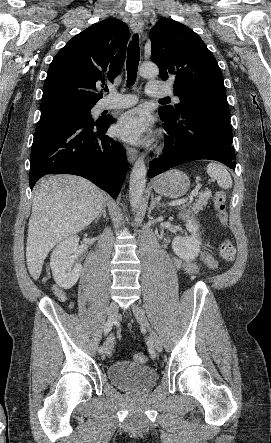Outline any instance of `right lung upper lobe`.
Instances as JSON below:
<instances>
[{
  "instance_id": "1",
  "label": "right lung upper lobe",
  "mask_w": 271,
  "mask_h": 443,
  "mask_svg": "<svg viewBox=\"0 0 271 443\" xmlns=\"http://www.w3.org/2000/svg\"><path fill=\"white\" fill-rule=\"evenodd\" d=\"M129 29L109 18L74 36L53 58L44 82L41 103L71 99L96 103L97 89L121 72Z\"/></svg>"
}]
</instances>
